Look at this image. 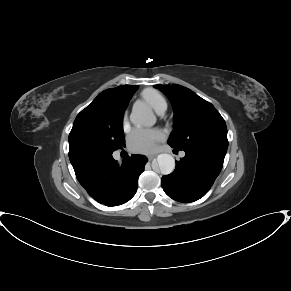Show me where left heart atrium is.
Instances as JSON below:
<instances>
[{
  "label": "left heart atrium",
  "instance_id": "39dd6f15",
  "mask_svg": "<svg viewBox=\"0 0 291 291\" xmlns=\"http://www.w3.org/2000/svg\"><path fill=\"white\" fill-rule=\"evenodd\" d=\"M163 138L164 134L158 129L135 128L129 134L128 148L136 153H151Z\"/></svg>",
  "mask_w": 291,
  "mask_h": 291
}]
</instances>
